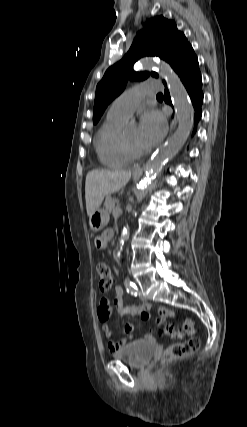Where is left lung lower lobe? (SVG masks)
I'll return each mask as SVG.
<instances>
[{
  "instance_id": "0a47b994",
  "label": "left lung lower lobe",
  "mask_w": 247,
  "mask_h": 427,
  "mask_svg": "<svg viewBox=\"0 0 247 427\" xmlns=\"http://www.w3.org/2000/svg\"><path fill=\"white\" fill-rule=\"evenodd\" d=\"M178 75L191 98L195 110L194 123L197 125L202 115L201 105L203 103L202 78L197 57L195 56L189 60L179 70ZM165 102L172 106L170 94L167 89L165 90ZM195 131L196 129H194V133Z\"/></svg>"
}]
</instances>
